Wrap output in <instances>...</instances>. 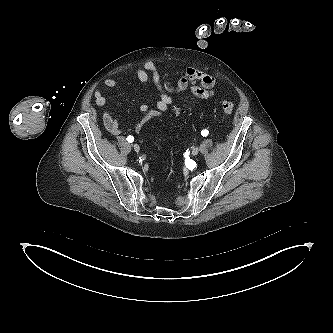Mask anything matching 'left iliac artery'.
I'll return each instance as SVG.
<instances>
[{
  "instance_id": "1",
  "label": "left iliac artery",
  "mask_w": 333,
  "mask_h": 333,
  "mask_svg": "<svg viewBox=\"0 0 333 333\" xmlns=\"http://www.w3.org/2000/svg\"><path fill=\"white\" fill-rule=\"evenodd\" d=\"M208 134H209V131H208L207 129H204V130L201 131V135H202L203 137L208 136Z\"/></svg>"
}]
</instances>
